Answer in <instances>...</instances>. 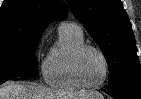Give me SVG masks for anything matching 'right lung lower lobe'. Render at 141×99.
<instances>
[{"mask_svg": "<svg viewBox=\"0 0 141 99\" xmlns=\"http://www.w3.org/2000/svg\"><path fill=\"white\" fill-rule=\"evenodd\" d=\"M5 81H3V82H0V84H2V83H4Z\"/></svg>", "mask_w": 141, "mask_h": 99, "instance_id": "obj_1", "label": "right lung lower lobe"}]
</instances>
